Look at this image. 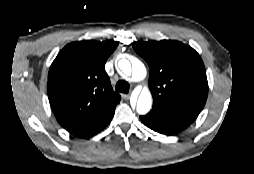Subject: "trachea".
Here are the masks:
<instances>
[{
    "instance_id": "trachea-1",
    "label": "trachea",
    "mask_w": 254,
    "mask_h": 174,
    "mask_svg": "<svg viewBox=\"0 0 254 174\" xmlns=\"http://www.w3.org/2000/svg\"><path fill=\"white\" fill-rule=\"evenodd\" d=\"M115 89L118 92L128 93L129 92V83L124 80H119L116 83Z\"/></svg>"
}]
</instances>
